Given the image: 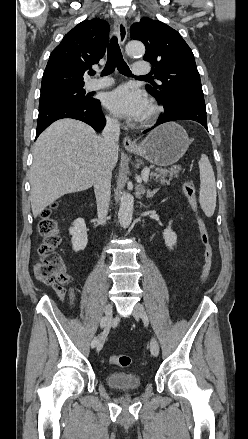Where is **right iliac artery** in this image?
<instances>
[{"instance_id": "82829eb1", "label": "right iliac artery", "mask_w": 248, "mask_h": 439, "mask_svg": "<svg viewBox=\"0 0 248 439\" xmlns=\"http://www.w3.org/2000/svg\"><path fill=\"white\" fill-rule=\"evenodd\" d=\"M100 328H105V318L104 317L101 319ZM97 337H98L97 335L92 337V343H91L92 348H94L97 344Z\"/></svg>"}]
</instances>
